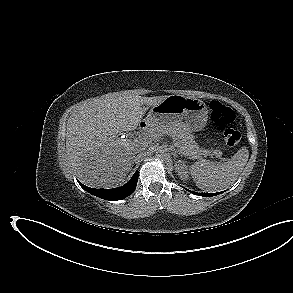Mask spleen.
Wrapping results in <instances>:
<instances>
[{"mask_svg":"<svg viewBox=\"0 0 293 293\" xmlns=\"http://www.w3.org/2000/svg\"><path fill=\"white\" fill-rule=\"evenodd\" d=\"M249 158L246 147L239 149L226 162L201 160L190 167V174L197 187L206 192H218L229 188L244 169Z\"/></svg>","mask_w":293,"mask_h":293,"instance_id":"obj_1","label":"spleen"}]
</instances>
